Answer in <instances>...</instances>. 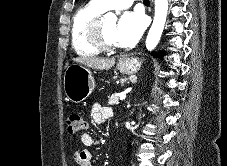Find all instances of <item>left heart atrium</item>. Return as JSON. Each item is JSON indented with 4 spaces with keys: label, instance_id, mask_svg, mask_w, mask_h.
<instances>
[{
    "label": "left heart atrium",
    "instance_id": "obj_1",
    "mask_svg": "<svg viewBox=\"0 0 227 166\" xmlns=\"http://www.w3.org/2000/svg\"><path fill=\"white\" fill-rule=\"evenodd\" d=\"M145 27L146 19L141 12H125L117 22L116 39L123 45H131L138 40Z\"/></svg>",
    "mask_w": 227,
    "mask_h": 166
}]
</instances>
